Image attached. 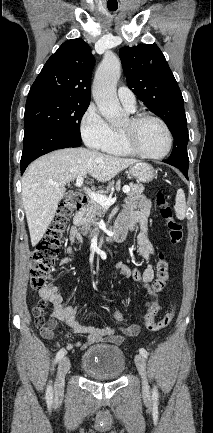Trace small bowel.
<instances>
[{
  "mask_svg": "<svg viewBox=\"0 0 213 433\" xmlns=\"http://www.w3.org/2000/svg\"><path fill=\"white\" fill-rule=\"evenodd\" d=\"M150 210L151 203L146 198H129L116 222V226H127L131 230L135 229L136 227L140 229V232L137 236L138 252L140 256H142V258L147 262L145 269L141 271L137 268H130L121 262L115 265V269L120 275L127 278H132L134 281L138 282L154 297V300L150 304L147 311V316L151 319H154V316L159 309V304L157 293L155 292L152 284L155 276V270L153 264L151 263V259L155 254V249L151 243L148 230V217L150 215ZM82 241L83 238L78 228L72 226L69 231L68 241L65 248L66 252L70 256L61 260L62 265H69L73 263L76 255L73 245L76 242ZM39 294L44 300H47L52 305V314L55 319L67 322L70 325L73 333L86 336L84 343L76 342L68 344L66 346L68 350H72L74 348H80L81 350H84L88 346L101 341H107L115 344H119L123 341L121 336L115 334V330L113 328H98L89 324L78 322L76 320V308L64 303L63 297L57 286L50 284L47 287L41 289ZM122 319L123 315L121 316L120 320ZM56 327V320H49L48 325L45 328H40L41 335L45 339H52ZM129 329L133 330L136 334L139 331V327L136 325L131 326Z\"/></svg>",
  "mask_w": 213,
  "mask_h": 433,
  "instance_id": "1",
  "label": "small bowel"
}]
</instances>
